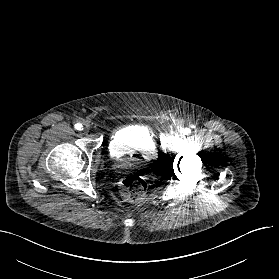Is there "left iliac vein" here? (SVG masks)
Segmentation results:
<instances>
[{
	"mask_svg": "<svg viewBox=\"0 0 279 279\" xmlns=\"http://www.w3.org/2000/svg\"><path fill=\"white\" fill-rule=\"evenodd\" d=\"M175 135L176 136H179V137H182L184 135V129L182 127H177L175 129Z\"/></svg>",
	"mask_w": 279,
	"mask_h": 279,
	"instance_id": "1",
	"label": "left iliac vein"
}]
</instances>
